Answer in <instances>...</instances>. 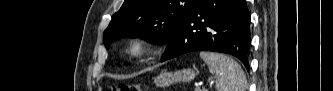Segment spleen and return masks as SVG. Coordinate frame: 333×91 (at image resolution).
Here are the masks:
<instances>
[{"label":"spleen","instance_id":"3e777b00","mask_svg":"<svg viewBox=\"0 0 333 91\" xmlns=\"http://www.w3.org/2000/svg\"><path fill=\"white\" fill-rule=\"evenodd\" d=\"M200 57L216 76L217 91H246L247 80L241 66L230 56L201 51Z\"/></svg>","mask_w":333,"mask_h":91}]
</instances>
